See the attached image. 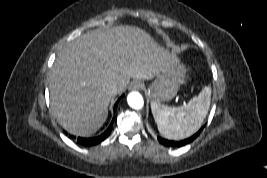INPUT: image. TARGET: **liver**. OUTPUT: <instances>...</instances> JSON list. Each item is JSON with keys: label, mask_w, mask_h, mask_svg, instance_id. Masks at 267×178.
Returning <instances> with one entry per match:
<instances>
[{"label": "liver", "mask_w": 267, "mask_h": 178, "mask_svg": "<svg viewBox=\"0 0 267 178\" xmlns=\"http://www.w3.org/2000/svg\"><path fill=\"white\" fill-rule=\"evenodd\" d=\"M170 53L143 29L116 26L81 34L57 54L49 74L51 110L69 133L87 137L106 121L113 96L130 78L151 80L169 65Z\"/></svg>", "instance_id": "1"}]
</instances>
